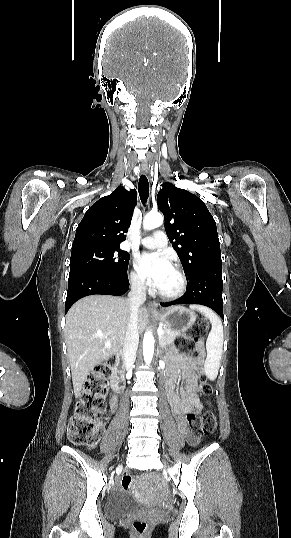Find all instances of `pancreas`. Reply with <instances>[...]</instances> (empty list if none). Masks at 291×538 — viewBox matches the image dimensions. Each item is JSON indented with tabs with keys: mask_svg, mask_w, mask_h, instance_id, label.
<instances>
[{
	"mask_svg": "<svg viewBox=\"0 0 291 538\" xmlns=\"http://www.w3.org/2000/svg\"><path fill=\"white\" fill-rule=\"evenodd\" d=\"M180 333L178 332H174V331H171L167 328H164L163 329V334L159 337V342H160V345L162 347H165L167 345H170L174 342L175 338L179 335Z\"/></svg>",
	"mask_w": 291,
	"mask_h": 538,
	"instance_id": "1",
	"label": "pancreas"
}]
</instances>
